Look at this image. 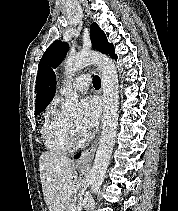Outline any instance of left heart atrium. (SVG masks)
I'll list each match as a JSON object with an SVG mask.
<instances>
[{
  "instance_id": "39dd6f15",
  "label": "left heart atrium",
  "mask_w": 178,
  "mask_h": 211,
  "mask_svg": "<svg viewBox=\"0 0 178 211\" xmlns=\"http://www.w3.org/2000/svg\"><path fill=\"white\" fill-rule=\"evenodd\" d=\"M100 105L94 97H87L81 103V116L78 127L84 136H87L97 126L100 116Z\"/></svg>"
}]
</instances>
